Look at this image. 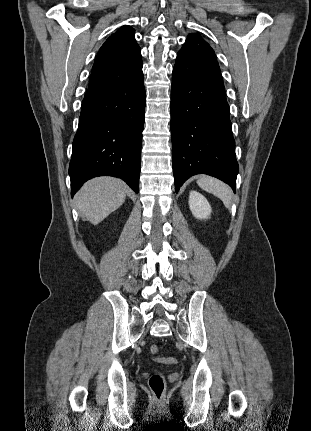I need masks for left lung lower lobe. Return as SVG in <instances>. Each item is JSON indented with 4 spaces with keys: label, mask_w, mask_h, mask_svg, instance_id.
<instances>
[{
    "label": "left lung lower lobe",
    "mask_w": 311,
    "mask_h": 431,
    "mask_svg": "<svg viewBox=\"0 0 311 431\" xmlns=\"http://www.w3.org/2000/svg\"><path fill=\"white\" fill-rule=\"evenodd\" d=\"M171 133L176 192L195 174L216 177L236 192L235 141L215 58L178 52L172 76Z\"/></svg>",
    "instance_id": "left-lung-lower-lobe-1"
}]
</instances>
